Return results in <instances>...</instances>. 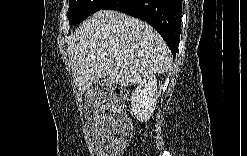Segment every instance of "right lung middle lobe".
I'll return each mask as SVG.
<instances>
[{
  "mask_svg": "<svg viewBox=\"0 0 247 156\" xmlns=\"http://www.w3.org/2000/svg\"><path fill=\"white\" fill-rule=\"evenodd\" d=\"M108 0H69L67 17L71 25L81 23L100 10Z\"/></svg>",
  "mask_w": 247,
  "mask_h": 156,
  "instance_id": "dd1d6c3e",
  "label": "right lung middle lobe"
}]
</instances>
